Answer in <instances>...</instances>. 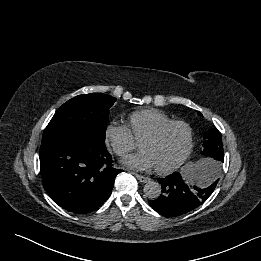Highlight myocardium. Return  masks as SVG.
<instances>
[{
    "mask_svg": "<svg viewBox=\"0 0 261 261\" xmlns=\"http://www.w3.org/2000/svg\"><path fill=\"white\" fill-rule=\"evenodd\" d=\"M176 125L183 126L187 130V133H188L187 147H186L184 153L182 154V156L173 164H171L167 167H163V168H155L156 172L159 174H170V173L174 172L180 166H182L186 162V160L189 158V156L192 153L193 147H194V131H193L192 126L184 120H171L169 122L164 123L163 125L158 127L155 131H153L152 133L145 136L141 141V142L156 141L159 138H161L163 136V134L169 128L176 126Z\"/></svg>",
    "mask_w": 261,
    "mask_h": 261,
    "instance_id": "myocardium-1",
    "label": "myocardium"
}]
</instances>
